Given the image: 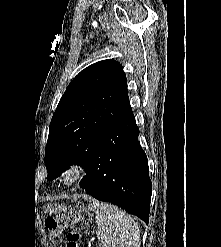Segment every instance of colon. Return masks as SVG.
<instances>
[{
    "label": "colon",
    "mask_w": 221,
    "mask_h": 247,
    "mask_svg": "<svg viewBox=\"0 0 221 247\" xmlns=\"http://www.w3.org/2000/svg\"><path fill=\"white\" fill-rule=\"evenodd\" d=\"M86 226V222L78 214H60L57 217L46 219L45 227L49 233V247H59L61 237L68 228V247H77L81 233Z\"/></svg>",
    "instance_id": "obj_1"
}]
</instances>
